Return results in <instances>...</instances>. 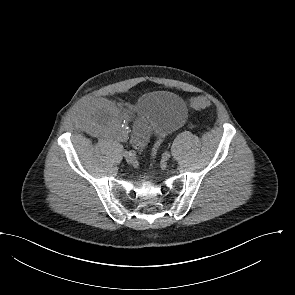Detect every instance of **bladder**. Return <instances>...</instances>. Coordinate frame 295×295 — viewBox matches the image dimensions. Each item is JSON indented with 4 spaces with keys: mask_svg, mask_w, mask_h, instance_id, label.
I'll list each match as a JSON object with an SVG mask.
<instances>
[{
    "mask_svg": "<svg viewBox=\"0 0 295 295\" xmlns=\"http://www.w3.org/2000/svg\"><path fill=\"white\" fill-rule=\"evenodd\" d=\"M187 115L183 99L170 91H151L137 104V116L147 118L151 128L160 135L168 134L181 126Z\"/></svg>",
    "mask_w": 295,
    "mask_h": 295,
    "instance_id": "bladder-1",
    "label": "bladder"
}]
</instances>
